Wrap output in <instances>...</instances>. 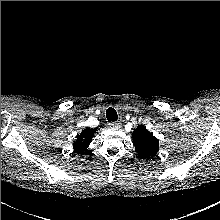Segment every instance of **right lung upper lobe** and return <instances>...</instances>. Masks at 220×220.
<instances>
[{
	"instance_id": "cb5924a9",
	"label": "right lung upper lobe",
	"mask_w": 220,
	"mask_h": 220,
	"mask_svg": "<svg viewBox=\"0 0 220 220\" xmlns=\"http://www.w3.org/2000/svg\"><path fill=\"white\" fill-rule=\"evenodd\" d=\"M96 129H85L81 132L80 135L77 136L76 142L73 143V148L76 153H85Z\"/></svg>"
}]
</instances>
